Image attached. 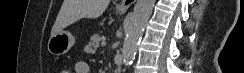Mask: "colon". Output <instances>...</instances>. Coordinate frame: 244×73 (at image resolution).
<instances>
[{"label": "colon", "instance_id": "obj_1", "mask_svg": "<svg viewBox=\"0 0 244 73\" xmlns=\"http://www.w3.org/2000/svg\"><path fill=\"white\" fill-rule=\"evenodd\" d=\"M62 73H71L70 70L68 68H64L62 71Z\"/></svg>", "mask_w": 244, "mask_h": 73}]
</instances>
